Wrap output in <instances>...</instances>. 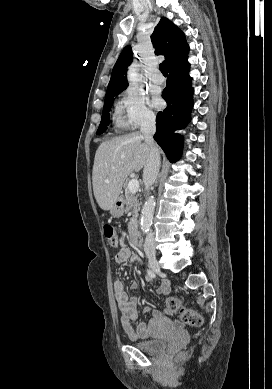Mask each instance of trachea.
Returning a JSON list of instances; mask_svg holds the SVG:
<instances>
[{
  "label": "trachea",
  "instance_id": "3493384b",
  "mask_svg": "<svg viewBox=\"0 0 272 389\" xmlns=\"http://www.w3.org/2000/svg\"><path fill=\"white\" fill-rule=\"evenodd\" d=\"M159 69H160V71H161V73L163 74V75H167L168 74V71H167V67H166V64L165 63H161L160 65H159Z\"/></svg>",
  "mask_w": 272,
  "mask_h": 389
}]
</instances>
